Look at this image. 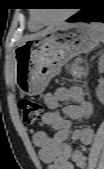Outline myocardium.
Segmentation results:
<instances>
[{
  "label": "myocardium",
  "mask_w": 104,
  "mask_h": 169,
  "mask_svg": "<svg viewBox=\"0 0 104 169\" xmlns=\"http://www.w3.org/2000/svg\"><path fill=\"white\" fill-rule=\"evenodd\" d=\"M71 15V11L66 12L65 14H63L61 17L52 20V21H43L42 19H40L38 16H34V18L36 19L37 22H39L40 24H44V25H50V24H56L59 22H62L66 19H68Z\"/></svg>",
  "instance_id": "1"
}]
</instances>
